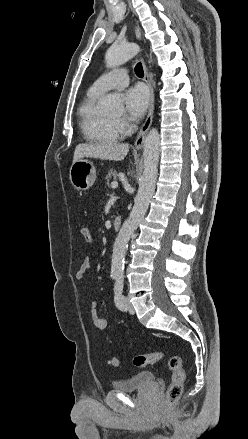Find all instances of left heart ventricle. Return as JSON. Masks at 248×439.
I'll return each mask as SVG.
<instances>
[{
    "instance_id": "obj_1",
    "label": "left heart ventricle",
    "mask_w": 248,
    "mask_h": 439,
    "mask_svg": "<svg viewBox=\"0 0 248 439\" xmlns=\"http://www.w3.org/2000/svg\"><path fill=\"white\" fill-rule=\"evenodd\" d=\"M119 115L114 116L115 118H117Z\"/></svg>"
}]
</instances>
